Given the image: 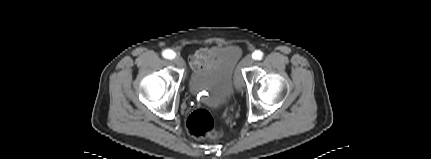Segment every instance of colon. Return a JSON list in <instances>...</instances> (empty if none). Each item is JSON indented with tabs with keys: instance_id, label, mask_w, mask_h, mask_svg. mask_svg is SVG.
<instances>
[{
	"instance_id": "5ec220e1",
	"label": "colon",
	"mask_w": 431,
	"mask_h": 159,
	"mask_svg": "<svg viewBox=\"0 0 431 159\" xmlns=\"http://www.w3.org/2000/svg\"><path fill=\"white\" fill-rule=\"evenodd\" d=\"M188 132L195 138L216 137L219 133L214 128V119L206 109H196L187 118Z\"/></svg>"
}]
</instances>
